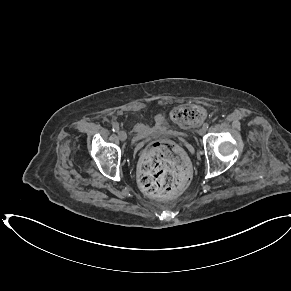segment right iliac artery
<instances>
[{
	"instance_id": "1",
	"label": "right iliac artery",
	"mask_w": 291,
	"mask_h": 291,
	"mask_svg": "<svg viewBox=\"0 0 291 291\" xmlns=\"http://www.w3.org/2000/svg\"><path fill=\"white\" fill-rule=\"evenodd\" d=\"M113 132H118L119 131V125L117 123H114L112 126Z\"/></svg>"
}]
</instances>
